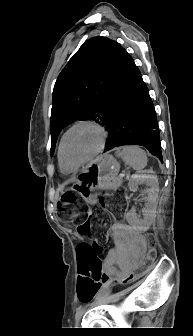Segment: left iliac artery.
Returning <instances> with one entry per match:
<instances>
[{
  "mask_svg": "<svg viewBox=\"0 0 193 336\" xmlns=\"http://www.w3.org/2000/svg\"><path fill=\"white\" fill-rule=\"evenodd\" d=\"M83 312H84L83 307L80 306V307L77 308L76 315H75V320L76 321L78 320L79 317L82 316Z\"/></svg>",
  "mask_w": 193,
  "mask_h": 336,
  "instance_id": "1",
  "label": "left iliac artery"
}]
</instances>
